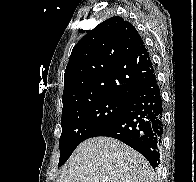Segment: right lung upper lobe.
I'll use <instances>...</instances> for the list:
<instances>
[{"label":"right lung upper lobe","mask_w":196,"mask_h":182,"mask_svg":"<svg viewBox=\"0 0 196 182\" xmlns=\"http://www.w3.org/2000/svg\"><path fill=\"white\" fill-rule=\"evenodd\" d=\"M153 73L136 28L111 17L74 46L64 75L62 112L100 97L129 100Z\"/></svg>","instance_id":"1"}]
</instances>
